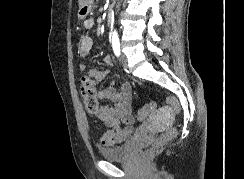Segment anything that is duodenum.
<instances>
[{
	"label": "duodenum",
	"mask_w": 244,
	"mask_h": 179,
	"mask_svg": "<svg viewBox=\"0 0 244 179\" xmlns=\"http://www.w3.org/2000/svg\"><path fill=\"white\" fill-rule=\"evenodd\" d=\"M112 13H113V10L112 9H109L108 10V15H109L108 18H110V16L112 15Z\"/></svg>",
	"instance_id": "duodenum-1"
}]
</instances>
